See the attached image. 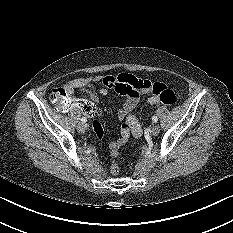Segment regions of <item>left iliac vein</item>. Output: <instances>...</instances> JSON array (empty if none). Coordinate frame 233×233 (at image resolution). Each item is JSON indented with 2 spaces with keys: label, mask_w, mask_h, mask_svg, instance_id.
Instances as JSON below:
<instances>
[{
  "label": "left iliac vein",
  "mask_w": 233,
  "mask_h": 233,
  "mask_svg": "<svg viewBox=\"0 0 233 233\" xmlns=\"http://www.w3.org/2000/svg\"><path fill=\"white\" fill-rule=\"evenodd\" d=\"M159 132H160V127H159V125H154V126L152 127L151 134H152L153 136H157V135L159 134Z\"/></svg>",
  "instance_id": "1"
}]
</instances>
